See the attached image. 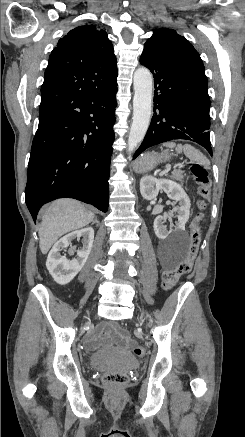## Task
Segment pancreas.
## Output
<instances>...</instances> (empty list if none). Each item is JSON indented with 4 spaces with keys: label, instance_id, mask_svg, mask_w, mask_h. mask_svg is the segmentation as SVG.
Masks as SVG:
<instances>
[{
    "label": "pancreas",
    "instance_id": "cf45deb5",
    "mask_svg": "<svg viewBox=\"0 0 245 437\" xmlns=\"http://www.w3.org/2000/svg\"><path fill=\"white\" fill-rule=\"evenodd\" d=\"M171 178L182 183L184 179L183 171L181 170L174 171Z\"/></svg>",
    "mask_w": 245,
    "mask_h": 437
}]
</instances>
